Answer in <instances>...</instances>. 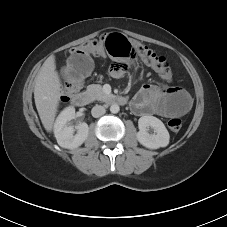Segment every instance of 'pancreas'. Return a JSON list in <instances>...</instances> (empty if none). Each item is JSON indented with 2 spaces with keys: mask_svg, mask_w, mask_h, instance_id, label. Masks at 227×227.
<instances>
[{
  "mask_svg": "<svg viewBox=\"0 0 227 227\" xmlns=\"http://www.w3.org/2000/svg\"><path fill=\"white\" fill-rule=\"evenodd\" d=\"M87 91L91 94L92 98L99 101H106L110 95H107L101 85L93 84L89 85Z\"/></svg>",
  "mask_w": 227,
  "mask_h": 227,
  "instance_id": "obj_1",
  "label": "pancreas"
}]
</instances>
